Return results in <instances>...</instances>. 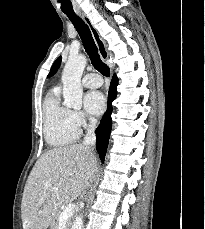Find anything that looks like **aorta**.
I'll list each match as a JSON object with an SVG mask.
<instances>
[{
  "label": "aorta",
  "instance_id": "obj_1",
  "mask_svg": "<svg viewBox=\"0 0 205 229\" xmlns=\"http://www.w3.org/2000/svg\"><path fill=\"white\" fill-rule=\"evenodd\" d=\"M87 59L84 55L70 56L62 72L63 97L66 107L76 110L82 107L83 88L81 77L86 67ZM83 216L75 217L71 229H82Z\"/></svg>",
  "mask_w": 205,
  "mask_h": 229
}]
</instances>
